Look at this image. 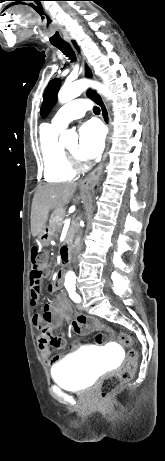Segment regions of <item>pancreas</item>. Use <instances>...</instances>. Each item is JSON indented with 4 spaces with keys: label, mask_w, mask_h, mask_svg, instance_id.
<instances>
[{
    "label": "pancreas",
    "mask_w": 165,
    "mask_h": 461,
    "mask_svg": "<svg viewBox=\"0 0 165 461\" xmlns=\"http://www.w3.org/2000/svg\"><path fill=\"white\" fill-rule=\"evenodd\" d=\"M65 217V210L63 208L55 210L49 219V225L54 232H61L63 220ZM73 228H70L66 241H69Z\"/></svg>",
    "instance_id": "cf45deb5"
}]
</instances>
